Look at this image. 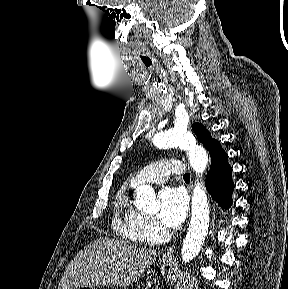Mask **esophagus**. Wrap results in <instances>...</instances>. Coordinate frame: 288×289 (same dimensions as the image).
Listing matches in <instances>:
<instances>
[{
	"instance_id": "34e87169",
	"label": "esophagus",
	"mask_w": 288,
	"mask_h": 289,
	"mask_svg": "<svg viewBox=\"0 0 288 289\" xmlns=\"http://www.w3.org/2000/svg\"><path fill=\"white\" fill-rule=\"evenodd\" d=\"M174 251H175V245H173V246L170 247L167 251H165V253H163L161 259H162L163 261L172 260V258L174 257Z\"/></svg>"
}]
</instances>
